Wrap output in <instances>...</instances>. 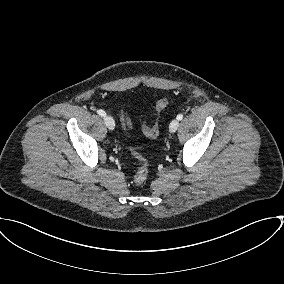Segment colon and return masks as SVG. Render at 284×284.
<instances>
[{
    "instance_id": "1",
    "label": "colon",
    "mask_w": 284,
    "mask_h": 284,
    "mask_svg": "<svg viewBox=\"0 0 284 284\" xmlns=\"http://www.w3.org/2000/svg\"><path fill=\"white\" fill-rule=\"evenodd\" d=\"M168 105V98L163 97L159 99L156 103V111L160 114ZM121 120L123 123L124 130L127 134L131 131V123L126 115V113L121 111ZM142 132L144 135L150 139H154L159 135V125L158 122H155L153 126H148L145 123L142 124ZM131 152L135 158H137L141 162V167L137 170L134 175V182L136 184H142L148 177L149 173V165L147 159L141 155L136 149L131 148Z\"/></svg>"
}]
</instances>
